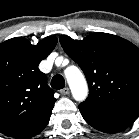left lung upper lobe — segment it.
<instances>
[{
    "label": "left lung upper lobe",
    "mask_w": 139,
    "mask_h": 139,
    "mask_svg": "<svg viewBox=\"0 0 139 139\" xmlns=\"http://www.w3.org/2000/svg\"><path fill=\"white\" fill-rule=\"evenodd\" d=\"M67 55L83 70L88 98L80 105L114 110L139 105V49L108 33H92L77 41L62 35Z\"/></svg>",
    "instance_id": "5c2ea615"
}]
</instances>
